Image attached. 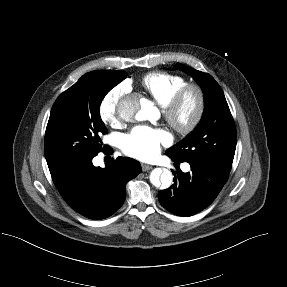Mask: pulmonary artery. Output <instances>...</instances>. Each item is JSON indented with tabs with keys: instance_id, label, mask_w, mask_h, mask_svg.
Masks as SVG:
<instances>
[{
	"instance_id": "1",
	"label": "pulmonary artery",
	"mask_w": 287,
	"mask_h": 287,
	"mask_svg": "<svg viewBox=\"0 0 287 287\" xmlns=\"http://www.w3.org/2000/svg\"><path fill=\"white\" fill-rule=\"evenodd\" d=\"M189 169V166L188 165H185L184 166V170H188Z\"/></svg>"
}]
</instances>
